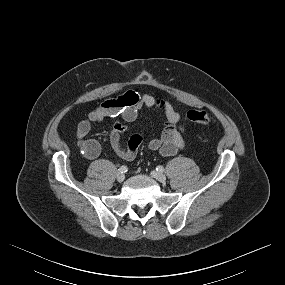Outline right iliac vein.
I'll return each mask as SVG.
<instances>
[{
  "label": "right iliac vein",
  "instance_id": "right-iliac-vein-1",
  "mask_svg": "<svg viewBox=\"0 0 285 285\" xmlns=\"http://www.w3.org/2000/svg\"><path fill=\"white\" fill-rule=\"evenodd\" d=\"M116 179H117L118 182H123L124 179H125V175L123 173H121V172H118L116 174Z\"/></svg>",
  "mask_w": 285,
  "mask_h": 285
}]
</instances>
